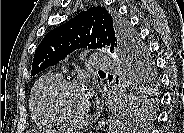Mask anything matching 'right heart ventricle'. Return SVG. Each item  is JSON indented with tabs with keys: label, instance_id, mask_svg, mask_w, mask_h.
<instances>
[{
	"label": "right heart ventricle",
	"instance_id": "right-heart-ventricle-1",
	"mask_svg": "<svg viewBox=\"0 0 184 133\" xmlns=\"http://www.w3.org/2000/svg\"><path fill=\"white\" fill-rule=\"evenodd\" d=\"M60 81V74L47 73L37 80L32 89L30 97L31 114L41 126L52 127L57 124L47 110L46 98L50 89Z\"/></svg>",
	"mask_w": 184,
	"mask_h": 133
}]
</instances>
